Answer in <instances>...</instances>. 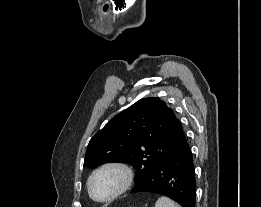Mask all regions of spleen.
Masks as SVG:
<instances>
[{
	"label": "spleen",
	"instance_id": "spleen-1",
	"mask_svg": "<svg viewBox=\"0 0 261 207\" xmlns=\"http://www.w3.org/2000/svg\"><path fill=\"white\" fill-rule=\"evenodd\" d=\"M155 207H180L167 197H160L155 203Z\"/></svg>",
	"mask_w": 261,
	"mask_h": 207
}]
</instances>
